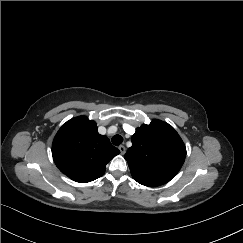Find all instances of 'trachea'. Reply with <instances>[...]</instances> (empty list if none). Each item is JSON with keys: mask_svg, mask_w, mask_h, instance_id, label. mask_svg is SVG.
Wrapping results in <instances>:
<instances>
[{"mask_svg": "<svg viewBox=\"0 0 243 243\" xmlns=\"http://www.w3.org/2000/svg\"><path fill=\"white\" fill-rule=\"evenodd\" d=\"M122 142H123V137H122L121 135H114V136L112 137V143H113L115 146L120 145Z\"/></svg>", "mask_w": 243, "mask_h": 243, "instance_id": "trachea-1", "label": "trachea"}]
</instances>
